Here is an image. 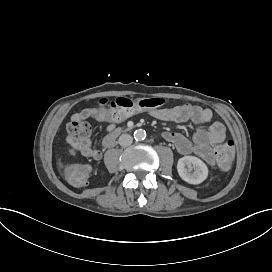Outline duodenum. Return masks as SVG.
<instances>
[{"instance_id":"duodenum-1","label":"duodenum","mask_w":272,"mask_h":272,"mask_svg":"<svg viewBox=\"0 0 272 272\" xmlns=\"http://www.w3.org/2000/svg\"><path fill=\"white\" fill-rule=\"evenodd\" d=\"M121 133V131H114L110 134H108L103 141L104 146L109 147L114 143V140L116 138L117 135H119Z\"/></svg>"}]
</instances>
